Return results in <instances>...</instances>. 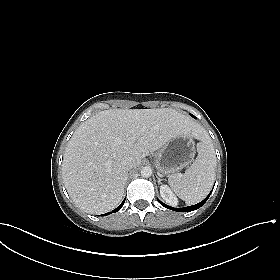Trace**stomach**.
I'll use <instances>...</instances> for the list:
<instances>
[{"label": "stomach", "mask_w": 280, "mask_h": 280, "mask_svg": "<svg viewBox=\"0 0 280 280\" xmlns=\"http://www.w3.org/2000/svg\"><path fill=\"white\" fill-rule=\"evenodd\" d=\"M195 156V144L189 134L170 139L154 156V165L159 175L171 176L188 166Z\"/></svg>", "instance_id": "obj_1"}]
</instances>
